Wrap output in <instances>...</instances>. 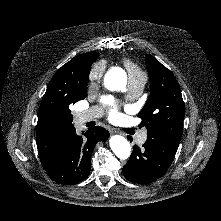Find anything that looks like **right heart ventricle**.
Wrapping results in <instances>:
<instances>
[{"label":"right heart ventricle","instance_id":"right-heart-ventricle-1","mask_svg":"<svg viewBox=\"0 0 221 221\" xmlns=\"http://www.w3.org/2000/svg\"><path fill=\"white\" fill-rule=\"evenodd\" d=\"M124 65L126 69L128 70L130 76L142 73V71L132 62L130 61H124Z\"/></svg>","mask_w":221,"mask_h":221}]
</instances>
